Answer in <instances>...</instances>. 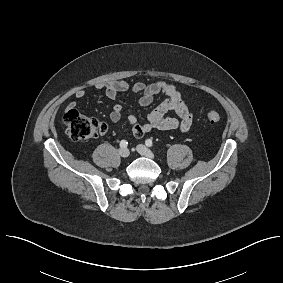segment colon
<instances>
[{"label": "colon", "instance_id": "obj_1", "mask_svg": "<svg viewBox=\"0 0 283 283\" xmlns=\"http://www.w3.org/2000/svg\"><path fill=\"white\" fill-rule=\"evenodd\" d=\"M207 120L211 124H216L221 120L218 112L207 113ZM63 123L71 139L75 141L86 140L97 137L106 131V125L88 117L77 110H69L63 119Z\"/></svg>", "mask_w": 283, "mask_h": 283}]
</instances>
